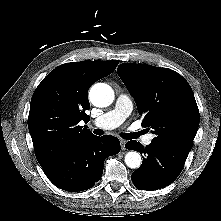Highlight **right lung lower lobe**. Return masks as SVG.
Returning <instances> with one entry per match:
<instances>
[{"instance_id": "obj_1", "label": "right lung lower lobe", "mask_w": 221, "mask_h": 221, "mask_svg": "<svg viewBox=\"0 0 221 221\" xmlns=\"http://www.w3.org/2000/svg\"><path fill=\"white\" fill-rule=\"evenodd\" d=\"M119 151L118 138L93 135L42 168L56 187L70 192L83 191L100 180L105 159Z\"/></svg>"}]
</instances>
